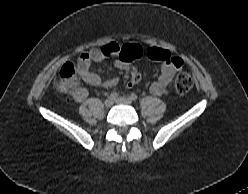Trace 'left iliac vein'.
I'll list each match as a JSON object with an SVG mask.
<instances>
[{
	"instance_id": "4c4485c4",
	"label": "left iliac vein",
	"mask_w": 248,
	"mask_h": 194,
	"mask_svg": "<svg viewBox=\"0 0 248 194\" xmlns=\"http://www.w3.org/2000/svg\"><path fill=\"white\" fill-rule=\"evenodd\" d=\"M115 103L117 104H124V105H130L132 103V100L128 97H119L115 100Z\"/></svg>"
}]
</instances>
